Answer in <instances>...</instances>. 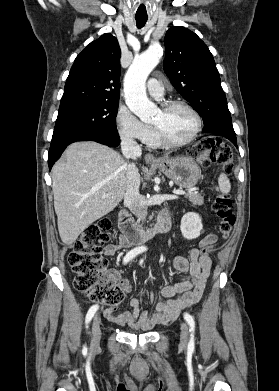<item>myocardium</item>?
Masks as SVG:
<instances>
[{"label": "myocardium", "mask_w": 279, "mask_h": 391, "mask_svg": "<svg viewBox=\"0 0 279 391\" xmlns=\"http://www.w3.org/2000/svg\"><path fill=\"white\" fill-rule=\"evenodd\" d=\"M174 107H184L185 109H187L194 116L195 121H196V125H195L194 131L191 133V135L188 138H186L185 140L176 142V141H172L169 138H167V136L165 135V133L161 127H159L158 125L152 124L154 134H155L159 144L164 147H167V148H179V147H183L185 145H188L197 137V135L199 134V132L202 129V118H201L199 112L186 101H183V100L167 101L162 104L161 110L163 112H167Z\"/></svg>", "instance_id": "myocardium-1"}]
</instances>
